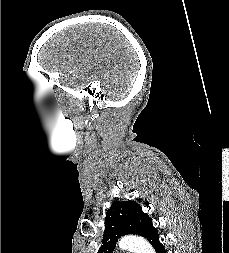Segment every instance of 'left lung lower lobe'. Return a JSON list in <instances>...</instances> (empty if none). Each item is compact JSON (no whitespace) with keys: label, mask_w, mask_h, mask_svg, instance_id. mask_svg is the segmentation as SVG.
<instances>
[{"label":"left lung lower lobe","mask_w":229,"mask_h":253,"mask_svg":"<svg viewBox=\"0 0 229 253\" xmlns=\"http://www.w3.org/2000/svg\"><path fill=\"white\" fill-rule=\"evenodd\" d=\"M156 253H166L164 246L162 245V243L160 241H157L154 245H153Z\"/></svg>","instance_id":"1"}]
</instances>
